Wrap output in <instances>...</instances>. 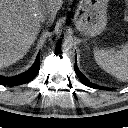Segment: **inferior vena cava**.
<instances>
[{"instance_id": "obj_1", "label": "inferior vena cava", "mask_w": 128, "mask_h": 128, "mask_svg": "<svg viewBox=\"0 0 128 128\" xmlns=\"http://www.w3.org/2000/svg\"><path fill=\"white\" fill-rule=\"evenodd\" d=\"M48 19V17H47V15L46 14H40L39 16H38V20L39 21H41V22H44V21H46Z\"/></svg>"}]
</instances>
